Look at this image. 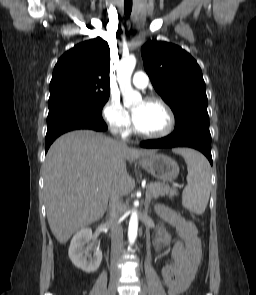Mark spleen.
I'll return each instance as SVG.
<instances>
[{
	"label": "spleen",
	"mask_w": 256,
	"mask_h": 295,
	"mask_svg": "<svg viewBox=\"0 0 256 295\" xmlns=\"http://www.w3.org/2000/svg\"><path fill=\"white\" fill-rule=\"evenodd\" d=\"M187 164V186L182 193V205L195 214L204 213L210 196V164L200 153L189 148L176 150Z\"/></svg>",
	"instance_id": "obj_1"
}]
</instances>
